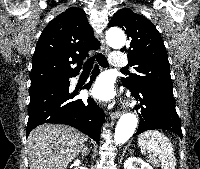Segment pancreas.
Segmentation results:
<instances>
[{"instance_id": "1", "label": "pancreas", "mask_w": 200, "mask_h": 169, "mask_svg": "<svg viewBox=\"0 0 200 169\" xmlns=\"http://www.w3.org/2000/svg\"><path fill=\"white\" fill-rule=\"evenodd\" d=\"M151 162L155 165L156 164V161H154V160H151Z\"/></svg>"}]
</instances>
